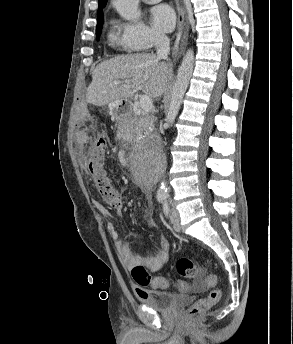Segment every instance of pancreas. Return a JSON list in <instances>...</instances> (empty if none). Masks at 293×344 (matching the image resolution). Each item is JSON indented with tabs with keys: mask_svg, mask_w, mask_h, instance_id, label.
I'll list each match as a JSON object with an SVG mask.
<instances>
[{
	"mask_svg": "<svg viewBox=\"0 0 293 344\" xmlns=\"http://www.w3.org/2000/svg\"><path fill=\"white\" fill-rule=\"evenodd\" d=\"M154 116L145 112L133 113V118L129 122L128 131L134 132L136 135H141L143 131L150 132L149 128L153 127Z\"/></svg>",
	"mask_w": 293,
	"mask_h": 344,
	"instance_id": "1",
	"label": "pancreas"
}]
</instances>
